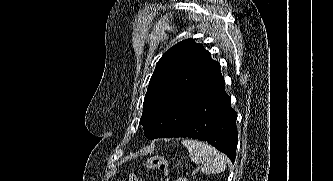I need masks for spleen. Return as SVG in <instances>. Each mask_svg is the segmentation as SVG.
I'll use <instances>...</instances> for the list:
<instances>
[{"mask_svg":"<svg viewBox=\"0 0 333 181\" xmlns=\"http://www.w3.org/2000/svg\"><path fill=\"white\" fill-rule=\"evenodd\" d=\"M182 145L188 149L191 160L201 165L205 174L222 173L226 169V157L207 143L197 140H182Z\"/></svg>","mask_w":333,"mask_h":181,"instance_id":"1","label":"spleen"}]
</instances>
